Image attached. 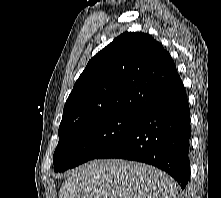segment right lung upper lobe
<instances>
[{"label":"right lung upper lobe","mask_w":221,"mask_h":198,"mask_svg":"<svg viewBox=\"0 0 221 198\" xmlns=\"http://www.w3.org/2000/svg\"><path fill=\"white\" fill-rule=\"evenodd\" d=\"M182 83L162 44L126 32L98 52L76 81L58 134L114 114L141 115Z\"/></svg>","instance_id":"obj_1"}]
</instances>
